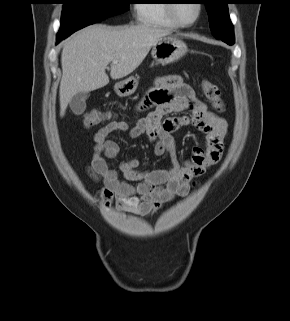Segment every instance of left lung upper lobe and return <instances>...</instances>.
Returning a JSON list of instances; mask_svg holds the SVG:
<instances>
[{"label": "left lung upper lobe", "instance_id": "1", "mask_svg": "<svg viewBox=\"0 0 290 321\" xmlns=\"http://www.w3.org/2000/svg\"><path fill=\"white\" fill-rule=\"evenodd\" d=\"M210 22L212 34L217 39L234 38L233 24L228 14L229 0H203Z\"/></svg>", "mask_w": 290, "mask_h": 321}]
</instances>
